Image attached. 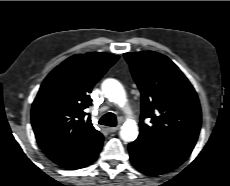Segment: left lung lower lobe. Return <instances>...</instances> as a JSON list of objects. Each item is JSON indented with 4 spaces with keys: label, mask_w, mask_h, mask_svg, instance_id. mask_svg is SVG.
<instances>
[{
    "label": "left lung lower lobe",
    "mask_w": 230,
    "mask_h": 186,
    "mask_svg": "<svg viewBox=\"0 0 230 186\" xmlns=\"http://www.w3.org/2000/svg\"><path fill=\"white\" fill-rule=\"evenodd\" d=\"M192 151L161 145L148 138L138 137L129 144L132 164L148 175H160L182 164Z\"/></svg>",
    "instance_id": "1"
}]
</instances>
